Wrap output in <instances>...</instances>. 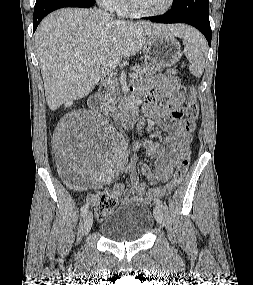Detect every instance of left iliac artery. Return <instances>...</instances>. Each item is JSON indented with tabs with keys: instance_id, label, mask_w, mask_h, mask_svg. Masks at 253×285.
Returning <instances> with one entry per match:
<instances>
[{
	"instance_id": "obj_1",
	"label": "left iliac artery",
	"mask_w": 253,
	"mask_h": 285,
	"mask_svg": "<svg viewBox=\"0 0 253 285\" xmlns=\"http://www.w3.org/2000/svg\"><path fill=\"white\" fill-rule=\"evenodd\" d=\"M154 202H155V204H156L157 206H160L161 208H163V203H162V201H161L160 199L156 198V199L154 200Z\"/></svg>"
}]
</instances>
